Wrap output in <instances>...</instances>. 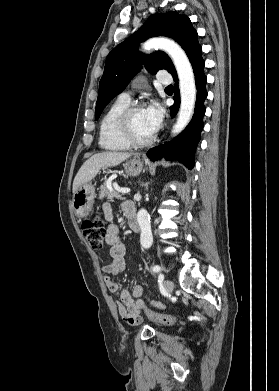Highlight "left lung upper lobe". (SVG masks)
I'll list each match as a JSON object with an SVG mask.
<instances>
[{"instance_id":"1","label":"left lung upper lobe","mask_w":279,"mask_h":391,"mask_svg":"<svg viewBox=\"0 0 279 391\" xmlns=\"http://www.w3.org/2000/svg\"><path fill=\"white\" fill-rule=\"evenodd\" d=\"M159 35L173 38L185 50L190 61L201 47L198 43L197 31L186 15H179L175 11L151 15L137 32L108 54L99 84L95 119L99 118L109 101L125 89L130 80L142 69V64L151 74L165 69L172 76L177 75L166 53L156 51L146 56L139 54L140 42Z\"/></svg>"}]
</instances>
